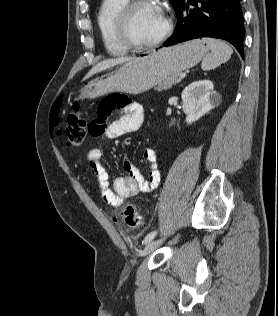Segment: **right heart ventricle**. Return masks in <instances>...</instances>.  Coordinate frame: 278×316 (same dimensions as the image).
Returning a JSON list of instances; mask_svg holds the SVG:
<instances>
[{"instance_id":"e07e8e85","label":"right heart ventricle","mask_w":278,"mask_h":316,"mask_svg":"<svg viewBox=\"0 0 278 316\" xmlns=\"http://www.w3.org/2000/svg\"><path fill=\"white\" fill-rule=\"evenodd\" d=\"M129 1L130 0H102L98 10V30L105 49L111 55H124L129 50L121 41L116 27L118 14Z\"/></svg>"}]
</instances>
